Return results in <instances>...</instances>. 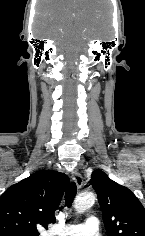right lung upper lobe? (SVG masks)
Returning a JSON list of instances; mask_svg holds the SVG:
<instances>
[{
  "label": "right lung upper lobe",
  "instance_id": "right-lung-upper-lobe-1",
  "mask_svg": "<svg viewBox=\"0 0 145 236\" xmlns=\"http://www.w3.org/2000/svg\"><path fill=\"white\" fill-rule=\"evenodd\" d=\"M69 178L41 170L9 187L0 197V236H39L36 225L54 223Z\"/></svg>",
  "mask_w": 145,
  "mask_h": 236
}]
</instances>
